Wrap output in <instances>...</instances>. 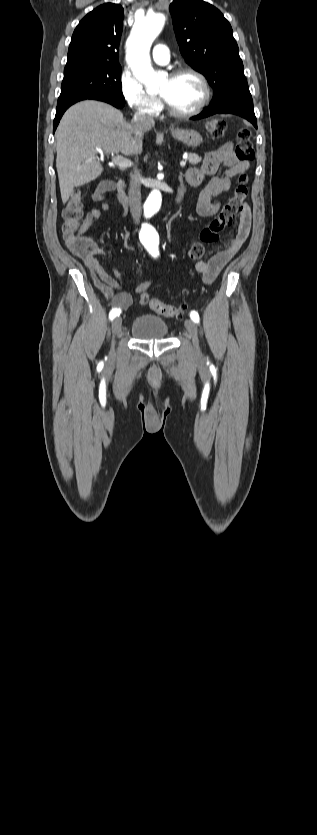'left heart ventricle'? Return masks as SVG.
Listing matches in <instances>:
<instances>
[{
    "label": "left heart ventricle",
    "mask_w": 317,
    "mask_h": 835,
    "mask_svg": "<svg viewBox=\"0 0 317 835\" xmlns=\"http://www.w3.org/2000/svg\"><path fill=\"white\" fill-rule=\"evenodd\" d=\"M159 93L177 111L193 109L202 96V89L198 80L191 75L167 78L161 85Z\"/></svg>",
    "instance_id": "b2bd125f"
}]
</instances>
